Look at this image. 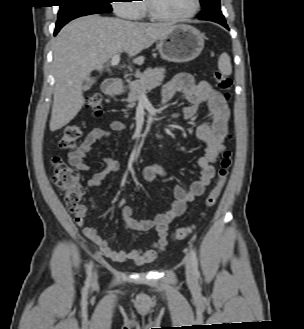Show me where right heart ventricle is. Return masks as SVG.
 Wrapping results in <instances>:
<instances>
[{
    "instance_id": "obj_1",
    "label": "right heart ventricle",
    "mask_w": 304,
    "mask_h": 329,
    "mask_svg": "<svg viewBox=\"0 0 304 329\" xmlns=\"http://www.w3.org/2000/svg\"><path fill=\"white\" fill-rule=\"evenodd\" d=\"M139 8H140V17L145 16L147 14L145 0H143V3L139 5Z\"/></svg>"
}]
</instances>
